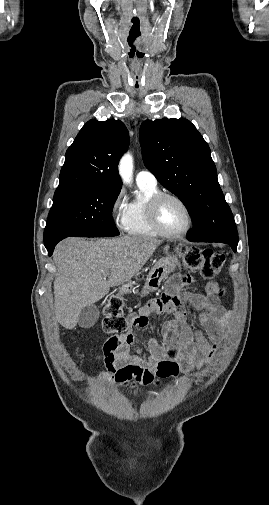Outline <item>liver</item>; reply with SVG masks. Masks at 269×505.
<instances>
[{
    "instance_id": "6515ba94",
    "label": "liver",
    "mask_w": 269,
    "mask_h": 505,
    "mask_svg": "<svg viewBox=\"0 0 269 505\" xmlns=\"http://www.w3.org/2000/svg\"><path fill=\"white\" fill-rule=\"evenodd\" d=\"M160 243L151 237L129 236L61 241L53 254L57 267L54 308L58 322L66 329H73L84 307L101 300L111 287L129 282Z\"/></svg>"
}]
</instances>
